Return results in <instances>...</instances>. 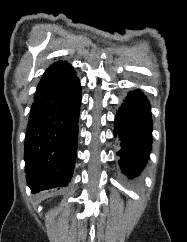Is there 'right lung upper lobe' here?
Listing matches in <instances>:
<instances>
[{
  "mask_svg": "<svg viewBox=\"0 0 187 242\" xmlns=\"http://www.w3.org/2000/svg\"><path fill=\"white\" fill-rule=\"evenodd\" d=\"M75 73L76 72L74 71L71 64L66 61H58L47 68L37 88L46 87L64 81Z\"/></svg>",
  "mask_w": 187,
  "mask_h": 242,
  "instance_id": "1",
  "label": "right lung upper lobe"
}]
</instances>
